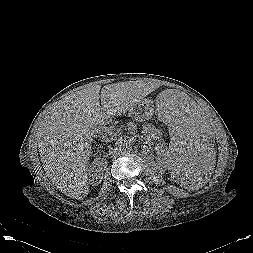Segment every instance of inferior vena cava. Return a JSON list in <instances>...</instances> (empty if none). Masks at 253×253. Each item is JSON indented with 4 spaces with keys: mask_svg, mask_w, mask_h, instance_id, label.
I'll list each match as a JSON object with an SVG mask.
<instances>
[{
    "mask_svg": "<svg viewBox=\"0 0 253 253\" xmlns=\"http://www.w3.org/2000/svg\"><path fill=\"white\" fill-rule=\"evenodd\" d=\"M102 127H94L93 131H100ZM120 153V150L118 148V143H116L113 147L110 148L109 154L111 156H116Z\"/></svg>",
    "mask_w": 253,
    "mask_h": 253,
    "instance_id": "1",
    "label": "inferior vena cava"
}]
</instances>
